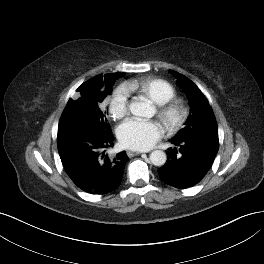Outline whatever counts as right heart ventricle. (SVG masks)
I'll use <instances>...</instances> for the list:
<instances>
[{"mask_svg": "<svg viewBox=\"0 0 264 264\" xmlns=\"http://www.w3.org/2000/svg\"><path fill=\"white\" fill-rule=\"evenodd\" d=\"M125 87L128 91L137 92L158 105L167 103L176 95L175 88L161 78L144 77L128 82Z\"/></svg>", "mask_w": 264, "mask_h": 264, "instance_id": "obj_1", "label": "right heart ventricle"}]
</instances>
